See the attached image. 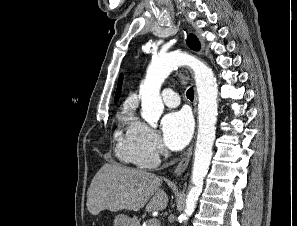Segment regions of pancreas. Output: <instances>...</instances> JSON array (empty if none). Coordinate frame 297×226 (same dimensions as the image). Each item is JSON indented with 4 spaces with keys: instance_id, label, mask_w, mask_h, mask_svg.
<instances>
[{
    "instance_id": "obj_1",
    "label": "pancreas",
    "mask_w": 297,
    "mask_h": 226,
    "mask_svg": "<svg viewBox=\"0 0 297 226\" xmlns=\"http://www.w3.org/2000/svg\"><path fill=\"white\" fill-rule=\"evenodd\" d=\"M146 226H160V223H159V221L156 224H152L150 222H147Z\"/></svg>"
}]
</instances>
